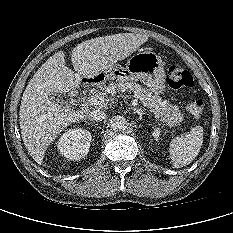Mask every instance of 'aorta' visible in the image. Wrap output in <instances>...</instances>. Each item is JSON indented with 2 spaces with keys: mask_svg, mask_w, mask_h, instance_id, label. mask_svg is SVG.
I'll use <instances>...</instances> for the list:
<instances>
[{
  "mask_svg": "<svg viewBox=\"0 0 233 233\" xmlns=\"http://www.w3.org/2000/svg\"><path fill=\"white\" fill-rule=\"evenodd\" d=\"M110 126L115 131H123L127 127V121L123 116L117 115L111 118Z\"/></svg>",
  "mask_w": 233,
  "mask_h": 233,
  "instance_id": "aorta-1",
  "label": "aorta"
}]
</instances>
